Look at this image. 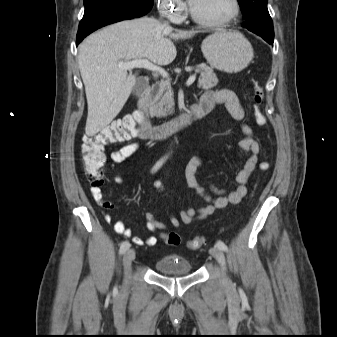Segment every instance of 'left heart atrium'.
<instances>
[{
	"label": "left heart atrium",
	"instance_id": "39dd6f15",
	"mask_svg": "<svg viewBox=\"0 0 337 337\" xmlns=\"http://www.w3.org/2000/svg\"><path fill=\"white\" fill-rule=\"evenodd\" d=\"M190 1V4L194 1V0H189Z\"/></svg>",
	"mask_w": 337,
	"mask_h": 337
}]
</instances>
